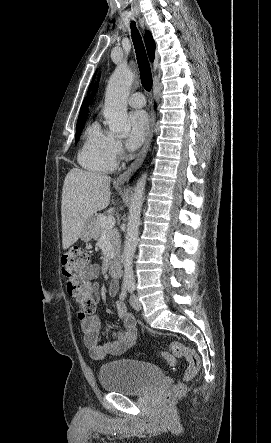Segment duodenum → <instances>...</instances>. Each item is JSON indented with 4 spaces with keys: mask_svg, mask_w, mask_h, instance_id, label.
Wrapping results in <instances>:
<instances>
[{
    "mask_svg": "<svg viewBox=\"0 0 271 443\" xmlns=\"http://www.w3.org/2000/svg\"><path fill=\"white\" fill-rule=\"evenodd\" d=\"M109 272L113 277H119L121 275V262L118 259L111 261Z\"/></svg>",
    "mask_w": 271,
    "mask_h": 443,
    "instance_id": "410a0bca",
    "label": "duodenum"
}]
</instances>
